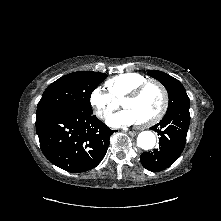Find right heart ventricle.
Listing matches in <instances>:
<instances>
[{
	"mask_svg": "<svg viewBox=\"0 0 221 221\" xmlns=\"http://www.w3.org/2000/svg\"><path fill=\"white\" fill-rule=\"evenodd\" d=\"M146 80L147 78L139 73H123L107 80L105 86L109 95L119 102L135 87Z\"/></svg>",
	"mask_w": 221,
	"mask_h": 221,
	"instance_id": "right-heart-ventricle-1",
	"label": "right heart ventricle"
}]
</instances>
